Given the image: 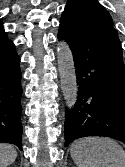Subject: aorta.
Returning a JSON list of instances; mask_svg holds the SVG:
<instances>
[{"label":"aorta","mask_w":125,"mask_h":167,"mask_svg":"<svg viewBox=\"0 0 125 167\" xmlns=\"http://www.w3.org/2000/svg\"><path fill=\"white\" fill-rule=\"evenodd\" d=\"M57 62L61 89L68 107H73L77 100V82L73 55L65 41L58 42Z\"/></svg>","instance_id":"aorta-1"}]
</instances>
